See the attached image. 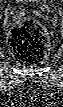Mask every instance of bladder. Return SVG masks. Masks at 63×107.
Listing matches in <instances>:
<instances>
[{
    "label": "bladder",
    "instance_id": "1",
    "mask_svg": "<svg viewBox=\"0 0 63 107\" xmlns=\"http://www.w3.org/2000/svg\"><path fill=\"white\" fill-rule=\"evenodd\" d=\"M17 1H26V0H17ZM29 1H31V0H29Z\"/></svg>",
    "mask_w": 63,
    "mask_h": 107
}]
</instances>
